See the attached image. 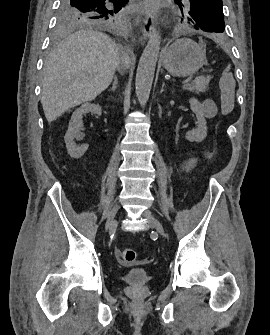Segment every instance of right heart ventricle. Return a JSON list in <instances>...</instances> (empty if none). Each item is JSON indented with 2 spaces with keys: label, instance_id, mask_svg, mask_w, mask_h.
<instances>
[{
  "label": "right heart ventricle",
  "instance_id": "right-heart-ventricle-1",
  "mask_svg": "<svg viewBox=\"0 0 270 335\" xmlns=\"http://www.w3.org/2000/svg\"><path fill=\"white\" fill-rule=\"evenodd\" d=\"M137 78H143V77H137V72H136L135 77H134L135 82H137Z\"/></svg>",
  "mask_w": 270,
  "mask_h": 335
}]
</instances>
